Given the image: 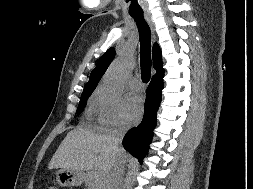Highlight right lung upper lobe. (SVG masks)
Returning a JSON list of instances; mask_svg holds the SVG:
<instances>
[{
    "label": "right lung upper lobe",
    "instance_id": "right-lung-upper-lobe-1",
    "mask_svg": "<svg viewBox=\"0 0 253 189\" xmlns=\"http://www.w3.org/2000/svg\"><path fill=\"white\" fill-rule=\"evenodd\" d=\"M115 56V49L109 48L99 59L95 69L91 72L89 81L84 87V91L93 90L96 88L101 77L105 73L106 69L112 62ZM153 67L156 69V74L154 76H159L164 74V69L162 67V57L161 50L158 44L153 46Z\"/></svg>",
    "mask_w": 253,
    "mask_h": 189
}]
</instances>
